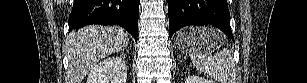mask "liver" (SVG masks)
<instances>
[{"mask_svg": "<svg viewBox=\"0 0 307 83\" xmlns=\"http://www.w3.org/2000/svg\"><path fill=\"white\" fill-rule=\"evenodd\" d=\"M128 44V33L119 27L94 25L71 32L66 47L68 83H81L101 59L122 51Z\"/></svg>", "mask_w": 307, "mask_h": 83, "instance_id": "liver-1", "label": "liver"}]
</instances>
